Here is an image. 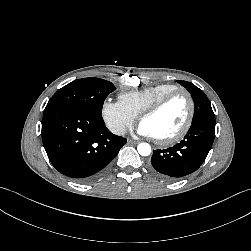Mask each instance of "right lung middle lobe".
I'll return each instance as SVG.
<instances>
[{"instance_id": "1", "label": "right lung middle lobe", "mask_w": 251, "mask_h": 251, "mask_svg": "<svg viewBox=\"0 0 251 251\" xmlns=\"http://www.w3.org/2000/svg\"><path fill=\"white\" fill-rule=\"evenodd\" d=\"M115 89L111 82L103 79H78L59 89L49 100L44 112L69 109L102 114L104 100Z\"/></svg>"}]
</instances>
